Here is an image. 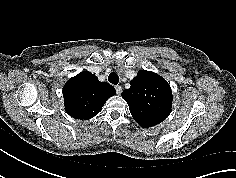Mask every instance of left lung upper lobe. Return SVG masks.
Masks as SVG:
<instances>
[{
	"label": "left lung upper lobe",
	"mask_w": 236,
	"mask_h": 178,
	"mask_svg": "<svg viewBox=\"0 0 236 178\" xmlns=\"http://www.w3.org/2000/svg\"><path fill=\"white\" fill-rule=\"evenodd\" d=\"M135 121L148 128L164 121L171 112L172 92L160 75L141 70L131 81L130 89L122 92Z\"/></svg>",
	"instance_id": "obj_1"
}]
</instances>
